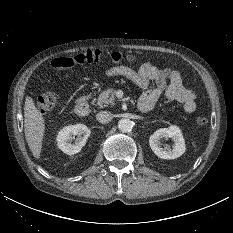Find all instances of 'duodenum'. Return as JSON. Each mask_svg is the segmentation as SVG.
<instances>
[{
	"label": "duodenum",
	"instance_id": "obj_1",
	"mask_svg": "<svg viewBox=\"0 0 233 233\" xmlns=\"http://www.w3.org/2000/svg\"><path fill=\"white\" fill-rule=\"evenodd\" d=\"M140 111L146 112L147 109L143 106L139 107ZM74 113L77 116H86L89 113L90 110V96L88 94L81 95L75 105H74Z\"/></svg>",
	"mask_w": 233,
	"mask_h": 233
}]
</instances>
